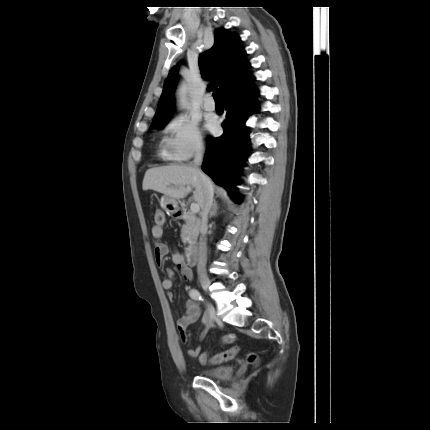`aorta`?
<instances>
[{
  "instance_id": "762f6f07",
  "label": "aorta",
  "mask_w": 430,
  "mask_h": 430,
  "mask_svg": "<svg viewBox=\"0 0 430 430\" xmlns=\"http://www.w3.org/2000/svg\"><path fill=\"white\" fill-rule=\"evenodd\" d=\"M177 95L179 98L180 106L181 107L185 106L187 103L188 93H187V88L184 85L180 86V88L177 92Z\"/></svg>"
}]
</instances>
